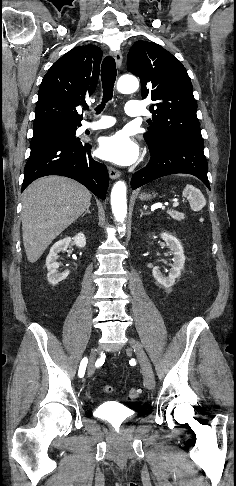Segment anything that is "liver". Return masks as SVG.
Wrapping results in <instances>:
<instances>
[{
	"label": "liver",
	"instance_id": "6515ba94",
	"mask_svg": "<svg viewBox=\"0 0 236 486\" xmlns=\"http://www.w3.org/2000/svg\"><path fill=\"white\" fill-rule=\"evenodd\" d=\"M91 194L78 182L47 176L23 194V244L29 262H36L51 242L90 207Z\"/></svg>",
	"mask_w": 236,
	"mask_h": 486
}]
</instances>
